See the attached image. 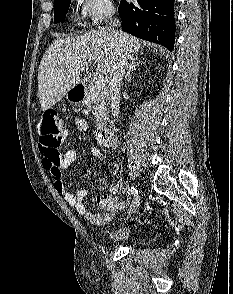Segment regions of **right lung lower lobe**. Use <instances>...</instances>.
Instances as JSON below:
<instances>
[{
	"label": "right lung lower lobe",
	"mask_w": 233,
	"mask_h": 294,
	"mask_svg": "<svg viewBox=\"0 0 233 294\" xmlns=\"http://www.w3.org/2000/svg\"><path fill=\"white\" fill-rule=\"evenodd\" d=\"M121 0L118 12L122 28L138 38L165 46L172 51L175 41L174 0Z\"/></svg>",
	"instance_id": "obj_1"
}]
</instances>
